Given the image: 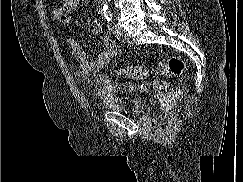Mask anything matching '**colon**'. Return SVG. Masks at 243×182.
<instances>
[{"label": "colon", "mask_w": 243, "mask_h": 182, "mask_svg": "<svg viewBox=\"0 0 243 182\" xmlns=\"http://www.w3.org/2000/svg\"><path fill=\"white\" fill-rule=\"evenodd\" d=\"M185 63L178 56H170L159 64V71L163 74L181 75L184 72ZM117 74L126 78L145 79L149 70L143 66H129L117 70ZM181 95L180 89H172L159 96L163 111H167Z\"/></svg>", "instance_id": "colon-1"}]
</instances>
